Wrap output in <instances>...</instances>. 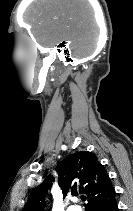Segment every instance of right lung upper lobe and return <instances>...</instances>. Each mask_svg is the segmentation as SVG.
Returning a JSON list of instances; mask_svg holds the SVG:
<instances>
[{
  "label": "right lung upper lobe",
  "instance_id": "right-lung-upper-lobe-1",
  "mask_svg": "<svg viewBox=\"0 0 133 211\" xmlns=\"http://www.w3.org/2000/svg\"><path fill=\"white\" fill-rule=\"evenodd\" d=\"M58 183L64 197L68 194L87 195L86 211H94L101 205L115 201V190L105 167L92 152L81 151L69 155L57 168ZM54 178L47 177L42 184L33 189L23 211H43L45 196Z\"/></svg>",
  "mask_w": 133,
  "mask_h": 211
}]
</instances>
